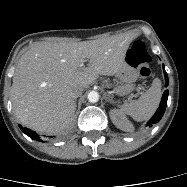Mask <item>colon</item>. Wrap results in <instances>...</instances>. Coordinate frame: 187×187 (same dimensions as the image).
<instances>
[{
  "label": "colon",
  "instance_id": "5ec220e1",
  "mask_svg": "<svg viewBox=\"0 0 187 187\" xmlns=\"http://www.w3.org/2000/svg\"><path fill=\"white\" fill-rule=\"evenodd\" d=\"M127 62L131 66L138 68L139 76L142 79H146L150 76L151 56L149 55L143 42L136 41L133 43L127 52Z\"/></svg>",
  "mask_w": 187,
  "mask_h": 187
}]
</instances>
